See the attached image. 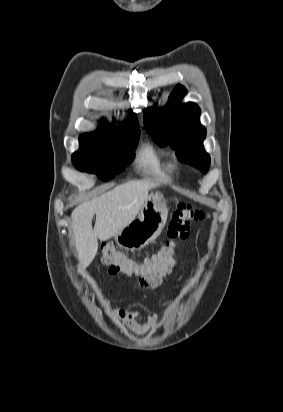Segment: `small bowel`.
Here are the masks:
<instances>
[{"label": "small bowel", "instance_id": "small-bowel-1", "mask_svg": "<svg viewBox=\"0 0 283 412\" xmlns=\"http://www.w3.org/2000/svg\"><path fill=\"white\" fill-rule=\"evenodd\" d=\"M175 264V259H173L171 263V270L175 267ZM139 282L144 288H154L161 282V280L152 282L139 279ZM101 308L104 312L107 313L109 319H111L113 322H120L129 330L134 332L154 331L159 326V317L151 310V305L149 303H143L141 304L139 309L135 310L117 309L114 311H109L110 300L107 297H104L101 300ZM142 314H144L146 318V324L140 326L138 324V319Z\"/></svg>", "mask_w": 283, "mask_h": 412}]
</instances>
